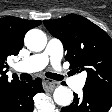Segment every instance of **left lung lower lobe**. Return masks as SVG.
<instances>
[{
  "mask_svg": "<svg viewBox=\"0 0 112 112\" xmlns=\"http://www.w3.org/2000/svg\"><path fill=\"white\" fill-rule=\"evenodd\" d=\"M112 106V91L83 88V95L78 97L74 93L71 105L63 107L61 112H108Z\"/></svg>",
  "mask_w": 112,
  "mask_h": 112,
  "instance_id": "1",
  "label": "left lung lower lobe"
}]
</instances>
